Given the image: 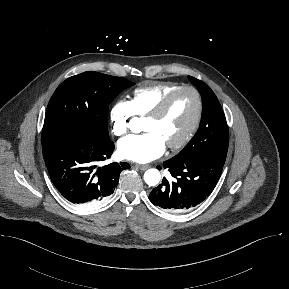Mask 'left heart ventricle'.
Returning <instances> with one entry per match:
<instances>
[{"instance_id":"b2bd125f","label":"left heart ventricle","mask_w":289,"mask_h":289,"mask_svg":"<svg viewBox=\"0 0 289 289\" xmlns=\"http://www.w3.org/2000/svg\"><path fill=\"white\" fill-rule=\"evenodd\" d=\"M197 102L190 91L177 94L165 114L157 119H145L143 129L157 134L165 145L181 139L190 128L196 114Z\"/></svg>"}]
</instances>
